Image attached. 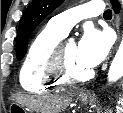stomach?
I'll return each mask as SVG.
<instances>
[{
  "instance_id": "obj_1",
  "label": "stomach",
  "mask_w": 123,
  "mask_h": 113,
  "mask_svg": "<svg viewBox=\"0 0 123 113\" xmlns=\"http://www.w3.org/2000/svg\"><path fill=\"white\" fill-rule=\"evenodd\" d=\"M77 99L82 103V104H87L90 100L91 97L84 96L82 94L78 95ZM10 112H19V113H25V109L17 103H11L10 104Z\"/></svg>"
}]
</instances>
